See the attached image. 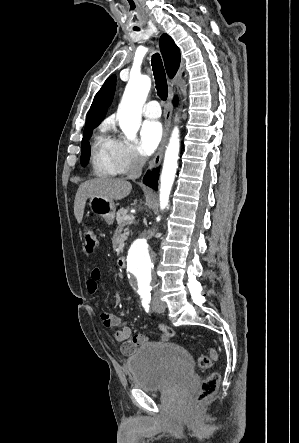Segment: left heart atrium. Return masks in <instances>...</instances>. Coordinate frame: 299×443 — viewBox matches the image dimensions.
Returning a JSON list of instances; mask_svg holds the SVG:
<instances>
[{"mask_svg": "<svg viewBox=\"0 0 299 443\" xmlns=\"http://www.w3.org/2000/svg\"><path fill=\"white\" fill-rule=\"evenodd\" d=\"M163 134L159 121H145L140 129V149L143 154H152L159 145Z\"/></svg>", "mask_w": 299, "mask_h": 443, "instance_id": "39dd6f15", "label": "left heart atrium"}]
</instances>
